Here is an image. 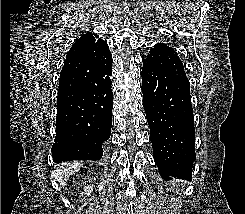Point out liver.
Instances as JSON below:
<instances>
[{
    "label": "liver",
    "mask_w": 245,
    "mask_h": 214,
    "mask_svg": "<svg viewBox=\"0 0 245 214\" xmlns=\"http://www.w3.org/2000/svg\"><path fill=\"white\" fill-rule=\"evenodd\" d=\"M82 166L83 164L79 162H69L62 164L55 173L60 186L64 187L69 177L75 172H78Z\"/></svg>",
    "instance_id": "1"
}]
</instances>
